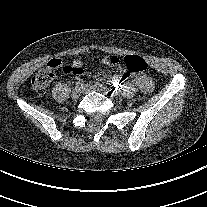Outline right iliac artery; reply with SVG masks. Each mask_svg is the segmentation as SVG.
<instances>
[{"label": "right iliac artery", "instance_id": "obj_1", "mask_svg": "<svg viewBox=\"0 0 207 207\" xmlns=\"http://www.w3.org/2000/svg\"><path fill=\"white\" fill-rule=\"evenodd\" d=\"M83 85H84V81H83V79H79V80L76 82V87L81 88V87H83Z\"/></svg>", "mask_w": 207, "mask_h": 207}]
</instances>
